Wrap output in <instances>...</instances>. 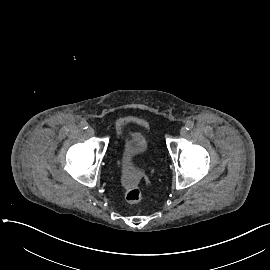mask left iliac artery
Returning <instances> with one entry per match:
<instances>
[{
  "label": "left iliac artery",
  "instance_id": "left-iliac-artery-1",
  "mask_svg": "<svg viewBox=\"0 0 270 270\" xmlns=\"http://www.w3.org/2000/svg\"><path fill=\"white\" fill-rule=\"evenodd\" d=\"M185 127L187 130H192L193 127H194V123L192 121H188L186 124H185Z\"/></svg>",
  "mask_w": 270,
  "mask_h": 270
}]
</instances>
